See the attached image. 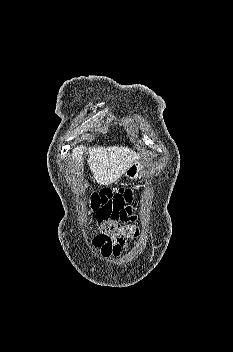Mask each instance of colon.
<instances>
[{
  "instance_id": "1",
  "label": "colon",
  "mask_w": 233,
  "mask_h": 352,
  "mask_svg": "<svg viewBox=\"0 0 233 352\" xmlns=\"http://www.w3.org/2000/svg\"><path fill=\"white\" fill-rule=\"evenodd\" d=\"M99 237L104 240L134 238L139 234V229L131 224H123L114 219L99 221Z\"/></svg>"
}]
</instances>
